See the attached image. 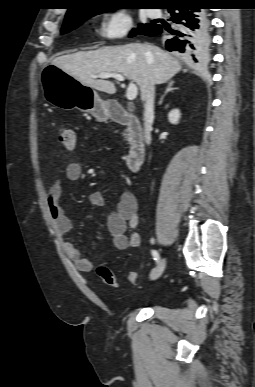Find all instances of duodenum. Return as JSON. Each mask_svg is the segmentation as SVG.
<instances>
[{
    "instance_id": "duodenum-1",
    "label": "duodenum",
    "mask_w": 255,
    "mask_h": 387,
    "mask_svg": "<svg viewBox=\"0 0 255 387\" xmlns=\"http://www.w3.org/2000/svg\"><path fill=\"white\" fill-rule=\"evenodd\" d=\"M108 117L112 121L124 125L129 135V151L125 164L129 171L137 172L145 157V145L142 125L137 116L129 113L119 104H111L108 108Z\"/></svg>"
}]
</instances>
